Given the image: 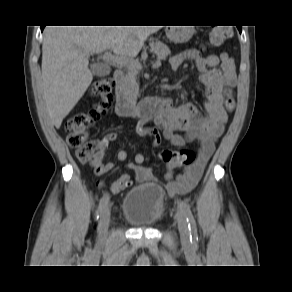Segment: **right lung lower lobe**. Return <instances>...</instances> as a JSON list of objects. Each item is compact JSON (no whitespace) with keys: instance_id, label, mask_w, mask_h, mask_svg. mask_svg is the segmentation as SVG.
<instances>
[{"instance_id":"98d812e1","label":"right lung lower lobe","mask_w":292,"mask_h":292,"mask_svg":"<svg viewBox=\"0 0 292 292\" xmlns=\"http://www.w3.org/2000/svg\"><path fill=\"white\" fill-rule=\"evenodd\" d=\"M44 27H45V26H41V30H42V31H43Z\"/></svg>"}]
</instances>
